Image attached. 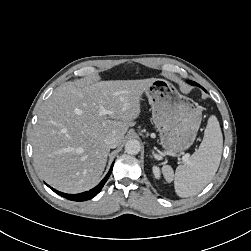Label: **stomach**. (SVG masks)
Listing matches in <instances>:
<instances>
[{"instance_id":"0dacf381","label":"stomach","mask_w":251,"mask_h":251,"mask_svg":"<svg viewBox=\"0 0 251 251\" xmlns=\"http://www.w3.org/2000/svg\"><path fill=\"white\" fill-rule=\"evenodd\" d=\"M144 93L151 104L162 147L173 153L187 150L195 141L202 120L198 104L164 79L155 78Z\"/></svg>"}]
</instances>
